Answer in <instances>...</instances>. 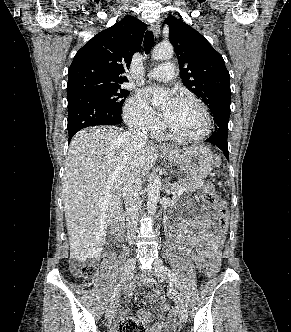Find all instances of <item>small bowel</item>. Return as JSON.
<instances>
[{"label": "small bowel", "mask_w": 291, "mask_h": 332, "mask_svg": "<svg viewBox=\"0 0 291 332\" xmlns=\"http://www.w3.org/2000/svg\"><path fill=\"white\" fill-rule=\"evenodd\" d=\"M225 230L217 228L207 213L200 214L197 218L181 221L178 224L175 243L177 249L193 260L200 268L207 266L210 260L220 256ZM129 294L133 292V285L129 287ZM152 303H159L164 312L169 310V305L163 299L160 288L153 286L149 294ZM141 324H148L151 316L146 311L139 313ZM172 320L161 317L159 321L147 332H171Z\"/></svg>", "instance_id": "1"}]
</instances>
